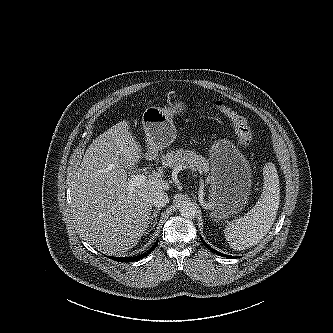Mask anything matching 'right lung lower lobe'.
I'll use <instances>...</instances> for the list:
<instances>
[{
  "instance_id": "right-lung-lower-lobe-1",
  "label": "right lung lower lobe",
  "mask_w": 333,
  "mask_h": 333,
  "mask_svg": "<svg viewBox=\"0 0 333 333\" xmlns=\"http://www.w3.org/2000/svg\"><path fill=\"white\" fill-rule=\"evenodd\" d=\"M157 244H158V240L156 241L155 245L149 251H147L146 253H144L142 255H139V256H135V257H117V258L110 257V258L115 260V261H120V262L137 261V260L147 256L148 254H150L156 248Z\"/></svg>"
}]
</instances>
